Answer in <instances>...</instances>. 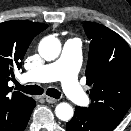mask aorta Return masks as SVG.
<instances>
[{"label":"aorta","instance_id":"1","mask_svg":"<svg viewBox=\"0 0 131 131\" xmlns=\"http://www.w3.org/2000/svg\"><path fill=\"white\" fill-rule=\"evenodd\" d=\"M61 51V43L54 36H47L40 41L39 54L47 61L56 59ZM73 108L68 103H59L55 108L57 118L63 121L70 120L73 116Z\"/></svg>","mask_w":131,"mask_h":131}]
</instances>
